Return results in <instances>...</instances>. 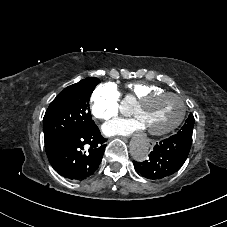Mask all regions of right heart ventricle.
Wrapping results in <instances>:
<instances>
[{"label": "right heart ventricle", "mask_w": 227, "mask_h": 227, "mask_svg": "<svg viewBox=\"0 0 227 227\" xmlns=\"http://www.w3.org/2000/svg\"><path fill=\"white\" fill-rule=\"evenodd\" d=\"M125 87L127 91L124 94V98L127 99L130 97H133L136 101L147 94L164 90L159 85L142 81V80L130 82L126 84Z\"/></svg>", "instance_id": "1"}]
</instances>
